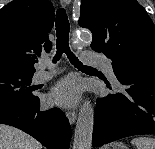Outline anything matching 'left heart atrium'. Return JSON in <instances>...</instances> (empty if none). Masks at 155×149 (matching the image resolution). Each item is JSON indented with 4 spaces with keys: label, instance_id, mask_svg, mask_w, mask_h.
<instances>
[{
    "label": "left heart atrium",
    "instance_id": "1",
    "mask_svg": "<svg viewBox=\"0 0 155 149\" xmlns=\"http://www.w3.org/2000/svg\"><path fill=\"white\" fill-rule=\"evenodd\" d=\"M81 94L80 81L73 77H68L60 81L52 90L49 99L52 103L71 106L74 105Z\"/></svg>",
    "mask_w": 155,
    "mask_h": 149
}]
</instances>
